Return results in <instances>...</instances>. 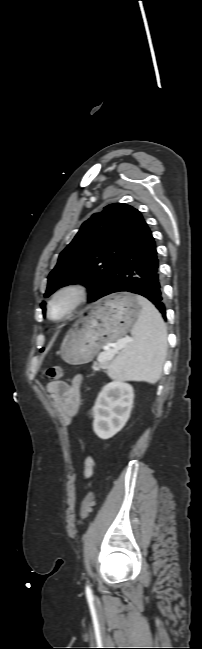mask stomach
I'll return each mask as SVG.
<instances>
[{"label": "stomach", "mask_w": 202, "mask_h": 649, "mask_svg": "<svg viewBox=\"0 0 202 649\" xmlns=\"http://www.w3.org/2000/svg\"><path fill=\"white\" fill-rule=\"evenodd\" d=\"M141 313L136 295L114 294L99 301L91 313L78 320L66 334L60 356L69 364L91 361L106 344L125 336Z\"/></svg>", "instance_id": "0dacf381"}]
</instances>
